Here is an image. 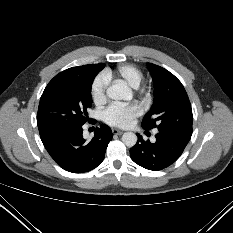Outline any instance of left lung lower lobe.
Here are the masks:
<instances>
[{
  "label": "left lung lower lobe",
  "mask_w": 233,
  "mask_h": 233,
  "mask_svg": "<svg viewBox=\"0 0 233 233\" xmlns=\"http://www.w3.org/2000/svg\"><path fill=\"white\" fill-rule=\"evenodd\" d=\"M156 142L144 141L138 136L137 143L130 149L131 159L138 165L159 171L173 164L184 151L191 136L178 132H158Z\"/></svg>",
  "instance_id": "1"
}]
</instances>
